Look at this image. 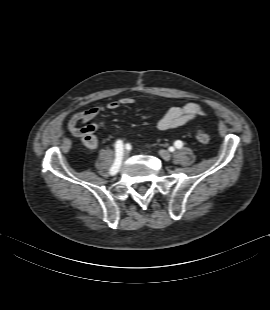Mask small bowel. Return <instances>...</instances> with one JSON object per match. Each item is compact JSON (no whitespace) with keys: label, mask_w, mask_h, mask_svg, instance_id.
Segmentation results:
<instances>
[{"label":"small bowel","mask_w":270,"mask_h":310,"mask_svg":"<svg viewBox=\"0 0 270 310\" xmlns=\"http://www.w3.org/2000/svg\"><path fill=\"white\" fill-rule=\"evenodd\" d=\"M134 102L133 98L124 97L104 105L92 106L76 112L68 119V129L70 133L74 137L79 138L87 148L96 149L98 146V139L95 133L105 126L106 121L100 120L95 123L90 122L103 111L117 110L122 106L132 105ZM203 115H205V111L197 102H189L183 106H173L169 108L158 121L157 128L161 131L176 129Z\"/></svg>","instance_id":"small-bowel-1"}]
</instances>
